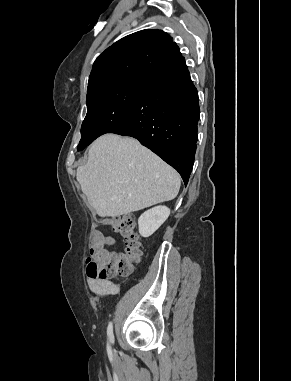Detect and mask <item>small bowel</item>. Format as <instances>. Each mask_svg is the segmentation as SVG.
Here are the masks:
<instances>
[{
  "label": "small bowel",
  "instance_id": "1",
  "mask_svg": "<svg viewBox=\"0 0 291 381\" xmlns=\"http://www.w3.org/2000/svg\"><path fill=\"white\" fill-rule=\"evenodd\" d=\"M92 240H93V249L106 247V245L112 244L114 240L111 237L105 236L100 231H95L92 234ZM88 285L90 289L101 295H108L116 293L119 289V286L112 281L108 279H101V278H88Z\"/></svg>",
  "mask_w": 291,
  "mask_h": 381
}]
</instances>
